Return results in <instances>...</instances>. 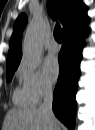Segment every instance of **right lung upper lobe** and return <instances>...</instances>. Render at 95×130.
I'll list each match as a JSON object with an SVG mask.
<instances>
[{
  "instance_id": "right-lung-upper-lobe-1",
  "label": "right lung upper lobe",
  "mask_w": 95,
  "mask_h": 130,
  "mask_svg": "<svg viewBox=\"0 0 95 130\" xmlns=\"http://www.w3.org/2000/svg\"><path fill=\"white\" fill-rule=\"evenodd\" d=\"M47 7L51 17L55 18L56 14L63 24L64 37L81 31L82 26L87 25L89 22L86 15L87 7L82 3V0H48ZM26 23L27 17L22 14L14 24L6 70L17 68L20 63L22 32Z\"/></svg>"
}]
</instances>
